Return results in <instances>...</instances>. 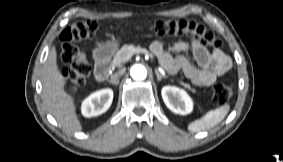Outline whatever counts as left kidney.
Masks as SVG:
<instances>
[{
	"instance_id": "5707ae66",
	"label": "left kidney",
	"mask_w": 283,
	"mask_h": 162,
	"mask_svg": "<svg viewBox=\"0 0 283 162\" xmlns=\"http://www.w3.org/2000/svg\"><path fill=\"white\" fill-rule=\"evenodd\" d=\"M161 95L165 105L174 113L187 115L192 112L193 102L187 92L176 86H164Z\"/></svg>"
}]
</instances>
